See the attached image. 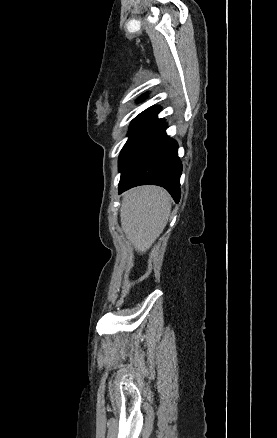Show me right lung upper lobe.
I'll use <instances>...</instances> for the list:
<instances>
[{
    "instance_id": "right-lung-upper-lobe-1",
    "label": "right lung upper lobe",
    "mask_w": 277,
    "mask_h": 438,
    "mask_svg": "<svg viewBox=\"0 0 277 438\" xmlns=\"http://www.w3.org/2000/svg\"><path fill=\"white\" fill-rule=\"evenodd\" d=\"M159 111H160L159 106H152V107L146 109L145 111H143L141 114H148V113L159 112ZM141 114H139V115H141Z\"/></svg>"
}]
</instances>
